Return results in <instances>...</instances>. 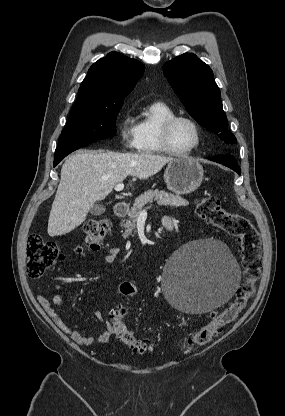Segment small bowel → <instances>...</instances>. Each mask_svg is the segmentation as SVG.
Instances as JSON below:
<instances>
[{"instance_id": "c3829d8e", "label": "small bowel", "mask_w": 285, "mask_h": 416, "mask_svg": "<svg viewBox=\"0 0 285 416\" xmlns=\"http://www.w3.org/2000/svg\"><path fill=\"white\" fill-rule=\"evenodd\" d=\"M171 224L173 226L174 219L166 215L163 217V224ZM118 250L113 248L109 255L106 258L108 263L114 261ZM37 301L43 308V310L47 313V315L51 318L53 323L65 332L70 338L79 345L82 346H90L94 343H106L110 340V338L115 334L110 318L102 311H96L95 316L96 318L104 323V330L98 336H87L76 329V327L69 326L63 317L54 309L53 305L55 306H63L64 305V297L60 294H56L52 297V300H48L46 297L42 295L37 296Z\"/></svg>"}]
</instances>
